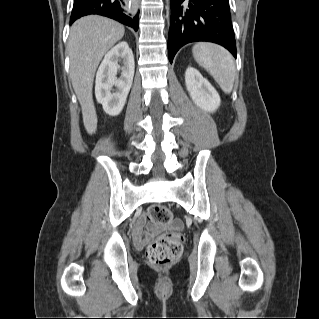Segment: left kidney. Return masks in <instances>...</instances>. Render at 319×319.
Wrapping results in <instances>:
<instances>
[{
  "label": "left kidney",
  "instance_id": "obj_1",
  "mask_svg": "<svg viewBox=\"0 0 319 319\" xmlns=\"http://www.w3.org/2000/svg\"><path fill=\"white\" fill-rule=\"evenodd\" d=\"M185 83L191 99L198 107L210 113L218 109L221 103L219 94L197 69L187 68Z\"/></svg>",
  "mask_w": 319,
  "mask_h": 319
}]
</instances>
